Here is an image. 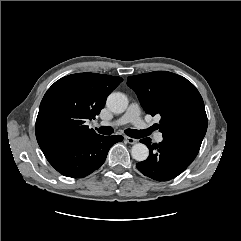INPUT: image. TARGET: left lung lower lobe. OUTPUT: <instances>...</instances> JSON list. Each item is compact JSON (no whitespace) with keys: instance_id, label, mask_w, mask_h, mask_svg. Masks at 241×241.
<instances>
[{"instance_id":"left-lung-lower-lobe-1","label":"left lung lower lobe","mask_w":241,"mask_h":241,"mask_svg":"<svg viewBox=\"0 0 241 241\" xmlns=\"http://www.w3.org/2000/svg\"><path fill=\"white\" fill-rule=\"evenodd\" d=\"M203 137L163 136L159 144L150 138L140 140L149 148V157L136 164L145 176L157 181H168L181 174L195 159Z\"/></svg>"}]
</instances>
